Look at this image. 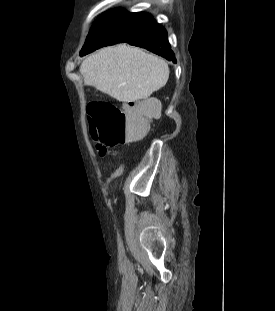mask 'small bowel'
I'll use <instances>...</instances> for the list:
<instances>
[{
	"label": "small bowel",
	"instance_id": "obj_1",
	"mask_svg": "<svg viewBox=\"0 0 275 311\" xmlns=\"http://www.w3.org/2000/svg\"><path fill=\"white\" fill-rule=\"evenodd\" d=\"M119 173L121 176H126L128 172L126 169H121ZM114 174H117V171H114Z\"/></svg>",
	"mask_w": 275,
	"mask_h": 311
}]
</instances>
